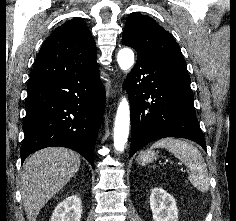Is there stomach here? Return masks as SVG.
I'll return each instance as SVG.
<instances>
[{
	"instance_id": "1",
	"label": "stomach",
	"mask_w": 236,
	"mask_h": 221,
	"mask_svg": "<svg viewBox=\"0 0 236 221\" xmlns=\"http://www.w3.org/2000/svg\"><path fill=\"white\" fill-rule=\"evenodd\" d=\"M155 159H156V154L154 151H151V150L142 151L138 155V161L142 165L151 163Z\"/></svg>"
}]
</instances>
